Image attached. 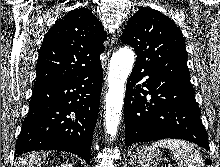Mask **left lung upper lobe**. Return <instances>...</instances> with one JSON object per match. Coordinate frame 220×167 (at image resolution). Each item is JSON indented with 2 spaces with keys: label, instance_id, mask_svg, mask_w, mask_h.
I'll return each instance as SVG.
<instances>
[{
  "label": "left lung upper lobe",
  "instance_id": "obj_1",
  "mask_svg": "<svg viewBox=\"0 0 220 167\" xmlns=\"http://www.w3.org/2000/svg\"><path fill=\"white\" fill-rule=\"evenodd\" d=\"M121 40L136 52V64L161 74L190 79L180 29L161 12L139 9L127 22Z\"/></svg>",
  "mask_w": 220,
  "mask_h": 167
}]
</instances>
